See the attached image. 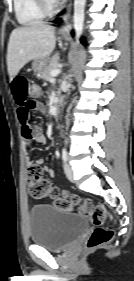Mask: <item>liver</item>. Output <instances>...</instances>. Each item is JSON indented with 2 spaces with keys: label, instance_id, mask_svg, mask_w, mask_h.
<instances>
[{
  "label": "liver",
  "instance_id": "obj_1",
  "mask_svg": "<svg viewBox=\"0 0 134 281\" xmlns=\"http://www.w3.org/2000/svg\"><path fill=\"white\" fill-rule=\"evenodd\" d=\"M55 28L43 22L12 31L7 48L10 80L31 60L47 59L55 48Z\"/></svg>",
  "mask_w": 134,
  "mask_h": 281
}]
</instances>
